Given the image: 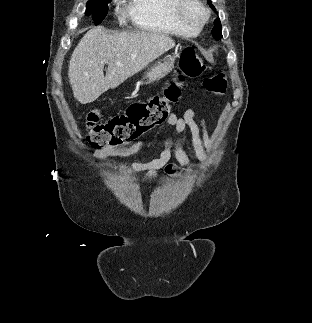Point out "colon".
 I'll return each instance as SVG.
<instances>
[{
	"label": "colon",
	"instance_id": "5ec220e1",
	"mask_svg": "<svg viewBox=\"0 0 312 323\" xmlns=\"http://www.w3.org/2000/svg\"><path fill=\"white\" fill-rule=\"evenodd\" d=\"M181 72L176 74L161 95H154L149 100L137 101L130 105L125 114L102 122V110L92 109L86 116V136L94 148L117 146L138 139L148 131L161 124L170 114V104L177 101L181 87L186 78H195L205 69L204 61L197 55L192 46L186 47L179 54ZM226 80L223 74L217 73L204 79L203 87L215 96L226 94ZM164 171L174 175V168L164 166Z\"/></svg>",
	"mask_w": 312,
	"mask_h": 323
}]
</instances>
